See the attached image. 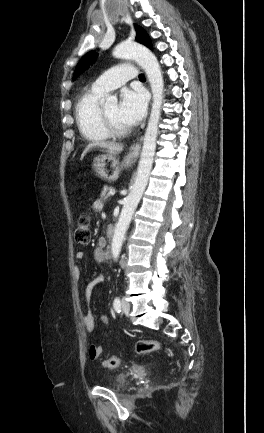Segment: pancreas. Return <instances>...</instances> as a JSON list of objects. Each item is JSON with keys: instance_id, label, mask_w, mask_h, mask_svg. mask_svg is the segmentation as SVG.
Returning a JSON list of instances; mask_svg holds the SVG:
<instances>
[{"instance_id": "obj_1", "label": "pancreas", "mask_w": 264, "mask_h": 433, "mask_svg": "<svg viewBox=\"0 0 264 433\" xmlns=\"http://www.w3.org/2000/svg\"><path fill=\"white\" fill-rule=\"evenodd\" d=\"M110 190H113V188L109 187L107 185L104 186L103 191H102V193L100 195V199L102 201H107V199L110 197V195L108 193V191H110Z\"/></svg>"}]
</instances>
